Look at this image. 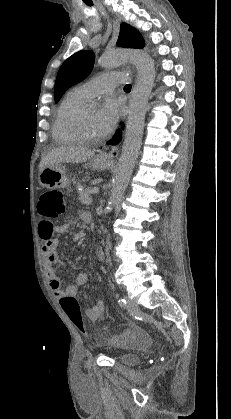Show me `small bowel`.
<instances>
[{"mask_svg": "<svg viewBox=\"0 0 231 419\" xmlns=\"http://www.w3.org/2000/svg\"><path fill=\"white\" fill-rule=\"evenodd\" d=\"M81 219L83 222L89 223L91 221V216L89 213L82 212ZM69 228L70 223L54 225L49 220L41 221L38 226V234L43 240L42 255L46 265L49 284L54 295L60 300L64 296H77L79 288L86 285L88 282V274L86 272H79L75 275L73 282L69 284L65 290H63L61 279L54 268V265L57 262V248L59 245V241L55 235L63 234L67 232ZM104 312L105 303L102 299H99L91 308L86 310L85 314L89 320L97 322L102 319ZM144 340L145 339L143 337L138 334H134L131 339V343L137 344L143 342Z\"/></svg>", "mask_w": 231, "mask_h": 419, "instance_id": "obj_1", "label": "small bowel"}]
</instances>
